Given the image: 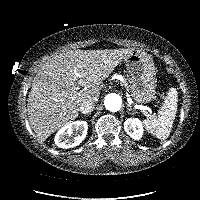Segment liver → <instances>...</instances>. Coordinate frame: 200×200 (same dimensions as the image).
Segmentation results:
<instances>
[{"label":"liver","mask_w":200,"mask_h":200,"mask_svg":"<svg viewBox=\"0 0 200 200\" xmlns=\"http://www.w3.org/2000/svg\"><path fill=\"white\" fill-rule=\"evenodd\" d=\"M132 51L69 50L50 58L38 70L28 95V120L37 138L44 142L76 119L83 101L97 102L100 85Z\"/></svg>","instance_id":"6515ba94"}]
</instances>
